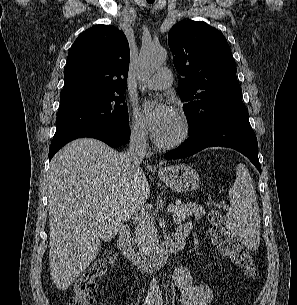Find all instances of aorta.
<instances>
[{
  "label": "aorta",
  "mask_w": 297,
  "mask_h": 305,
  "mask_svg": "<svg viewBox=\"0 0 297 305\" xmlns=\"http://www.w3.org/2000/svg\"><path fill=\"white\" fill-rule=\"evenodd\" d=\"M167 56L166 50L161 46L144 47L139 55L138 75L141 79L150 76L162 65ZM148 295L151 297L160 296V287L157 277H153L149 283Z\"/></svg>",
  "instance_id": "1"
}]
</instances>
